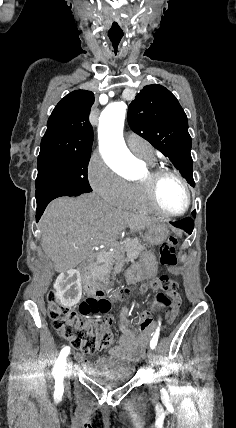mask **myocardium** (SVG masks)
Segmentation results:
<instances>
[{
    "label": "myocardium",
    "mask_w": 236,
    "mask_h": 428,
    "mask_svg": "<svg viewBox=\"0 0 236 428\" xmlns=\"http://www.w3.org/2000/svg\"><path fill=\"white\" fill-rule=\"evenodd\" d=\"M172 177L178 180L185 189L186 192V204L183 209L178 211H173L167 209L160 198L159 187L161 182L167 178ZM144 187L145 195L150 202V204L157 210L160 214L164 216H180L185 214L191 207L192 203V190L188 180L179 172L167 168L159 167L154 170H150L147 174L140 180Z\"/></svg>",
    "instance_id": "1"
}]
</instances>
